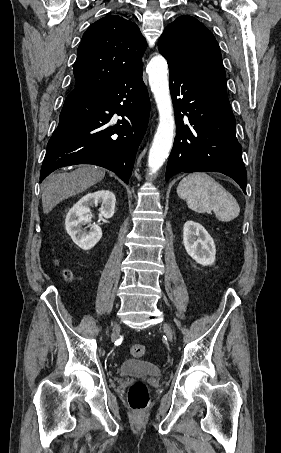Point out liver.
I'll return each instance as SVG.
<instances>
[{
  "instance_id": "1",
  "label": "liver",
  "mask_w": 281,
  "mask_h": 453,
  "mask_svg": "<svg viewBox=\"0 0 281 453\" xmlns=\"http://www.w3.org/2000/svg\"><path fill=\"white\" fill-rule=\"evenodd\" d=\"M105 176V168L81 164L72 172H52L43 182L42 206L43 212L48 214L58 202L68 196H75L84 192L93 184L100 182Z\"/></svg>"
}]
</instances>
